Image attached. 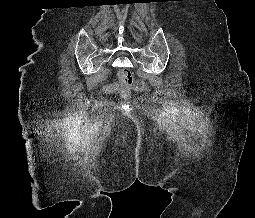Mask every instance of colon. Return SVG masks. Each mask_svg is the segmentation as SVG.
I'll return each mask as SVG.
<instances>
[{"mask_svg":"<svg viewBox=\"0 0 255 218\" xmlns=\"http://www.w3.org/2000/svg\"><path fill=\"white\" fill-rule=\"evenodd\" d=\"M118 84L123 95L128 94L132 89L142 90L145 87L144 83L135 80L132 72L126 68L118 71Z\"/></svg>","mask_w":255,"mask_h":218,"instance_id":"5ec220e1","label":"colon"}]
</instances>
